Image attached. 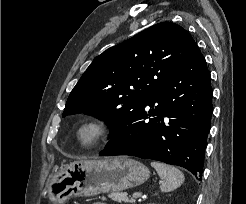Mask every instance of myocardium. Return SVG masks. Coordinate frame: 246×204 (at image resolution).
<instances>
[{
    "label": "myocardium",
    "instance_id": "myocardium-1",
    "mask_svg": "<svg viewBox=\"0 0 246 204\" xmlns=\"http://www.w3.org/2000/svg\"><path fill=\"white\" fill-rule=\"evenodd\" d=\"M91 131V137L85 139L83 133ZM112 133L111 124L102 118H88L82 121L75 129L74 137L79 146L90 149L105 142Z\"/></svg>",
    "mask_w": 246,
    "mask_h": 204
}]
</instances>
